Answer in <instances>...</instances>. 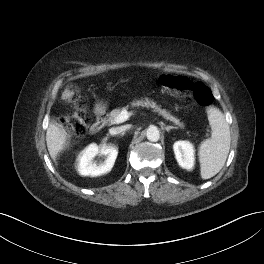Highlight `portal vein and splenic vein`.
Returning a JSON list of instances; mask_svg holds the SVG:
<instances>
[{"mask_svg":"<svg viewBox=\"0 0 264 264\" xmlns=\"http://www.w3.org/2000/svg\"><path fill=\"white\" fill-rule=\"evenodd\" d=\"M133 113L128 112L126 109H123L120 114L115 118L114 123L115 124H120L125 121H127L130 116H132Z\"/></svg>","mask_w":264,"mask_h":264,"instance_id":"18ae733b","label":"portal vein and splenic vein"}]
</instances>
